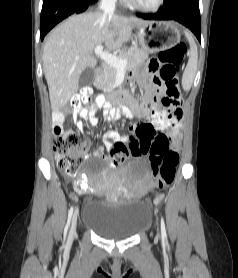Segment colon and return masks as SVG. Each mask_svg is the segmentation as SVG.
<instances>
[{
    "label": "colon",
    "mask_w": 238,
    "mask_h": 278,
    "mask_svg": "<svg viewBox=\"0 0 238 278\" xmlns=\"http://www.w3.org/2000/svg\"><path fill=\"white\" fill-rule=\"evenodd\" d=\"M186 53V44L180 42L159 54L158 59H161L163 65L159 76H163L166 94L165 97L158 99V102H154L153 111L156 127L160 131H164L171 125L173 100L178 96L177 72ZM92 95V88L84 87L72 98L71 105L74 108L84 106L87 110H94ZM161 133L157 132V134ZM152 139L153 137H141L139 142H133L128 146L124 144L114 145L111 148L112 161L114 164H120L130 155H148L158 187L165 189L174 181L179 155L176 151L170 150V144H153ZM53 149L59 169L70 176H76L80 169L82 153L77 136L73 132H56ZM156 200L161 201L162 195H158Z\"/></svg>",
    "instance_id": "obj_1"
}]
</instances>
